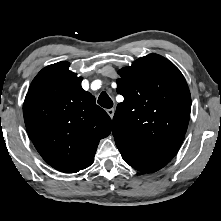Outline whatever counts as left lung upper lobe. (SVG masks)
I'll return each instance as SVG.
<instances>
[{
    "label": "left lung upper lobe",
    "mask_w": 221,
    "mask_h": 221,
    "mask_svg": "<svg viewBox=\"0 0 221 221\" xmlns=\"http://www.w3.org/2000/svg\"><path fill=\"white\" fill-rule=\"evenodd\" d=\"M118 73L117 92L124 101L113 117L116 145L168 163L181 146L190 118L191 96L182 73L158 54L141 57Z\"/></svg>",
    "instance_id": "1"
}]
</instances>
